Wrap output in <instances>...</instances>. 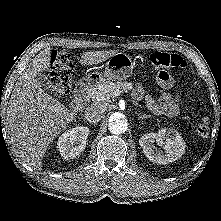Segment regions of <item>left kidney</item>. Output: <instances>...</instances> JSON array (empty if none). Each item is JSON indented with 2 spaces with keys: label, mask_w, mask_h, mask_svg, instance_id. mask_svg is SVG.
<instances>
[{
  "label": "left kidney",
  "mask_w": 221,
  "mask_h": 221,
  "mask_svg": "<svg viewBox=\"0 0 221 221\" xmlns=\"http://www.w3.org/2000/svg\"><path fill=\"white\" fill-rule=\"evenodd\" d=\"M156 144L164 149V153ZM139 144L146 157L157 164H167L178 160L185 152V142L176 130L163 128L158 133L141 136Z\"/></svg>",
  "instance_id": "left-kidney-1"
}]
</instances>
